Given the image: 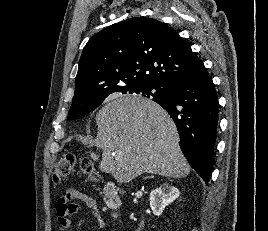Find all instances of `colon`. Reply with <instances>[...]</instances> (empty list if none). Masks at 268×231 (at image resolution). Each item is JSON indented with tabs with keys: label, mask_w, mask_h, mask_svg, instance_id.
<instances>
[{
	"label": "colon",
	"mask_w": 268,
	"mask_h": 231,
	"mask_svg": "<svg viewBox=\"0 0 268 231\" xmlns=\"http://www.w3.org/2000/svg\"><path fill=\"white\" fill-rule=\"evenodd\" d=\"M77 159L73 155L62 157L55 165L53 171V180L55 183H62L68 179L76 167ZM83 175L89 179L96 178L98 170L90 163L89 160L83 159L78 164Z\"/></svg>",
	"instance_id": "colon-1"
}]
</instances>
